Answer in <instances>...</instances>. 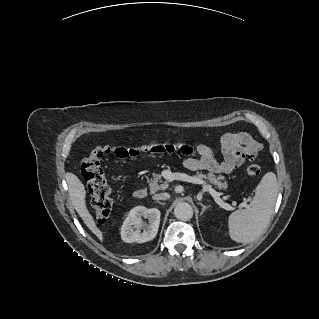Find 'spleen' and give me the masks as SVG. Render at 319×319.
<instances>
[{
    "instance_id": "1",
    "label": "spleen",
    "mask_w": 319,
    "mask_h": 319,
    "mask_svg": "<svg viewBox=\"0 0 319 319\" xmlns=\"http://www.w3.org/2000/svg\"><path fill=\"white\" fill-rule=\"evenodd\" d=\"M279 185L274 172H267L255 188L247 208L236 210L228 219L229 235L239 243H249L259 237L273 214Z\"/></svg>"
}]
</instances>
